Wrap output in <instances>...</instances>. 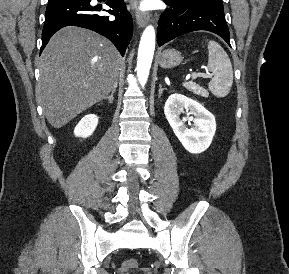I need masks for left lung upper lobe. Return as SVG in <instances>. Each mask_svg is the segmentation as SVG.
Listing matches in <instances>:
<instances>
[{
    "mask_svg": "<svg viewBox=\"0 0 289 274\" xmlns=\"http://www.w3.org/2000/svg\"><path fill=\"white\" fill-rule=\"evenodd\" d=\"M171 3V5H180L184 1H209V2H214V3H219L223 4L222 0H166Z\"/></svg>",
    "mask_w": 289,
    "mask_h": 274,
    "instance_id": "left-lung-upper-lobe-1",
    "label": "left lung upper lobe"
}]
</instances>
